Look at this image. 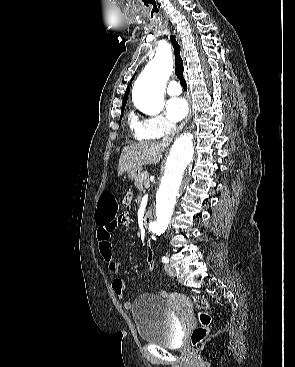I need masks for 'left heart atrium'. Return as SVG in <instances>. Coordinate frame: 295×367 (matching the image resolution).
I'll return each instance as SVG.
<instances>
[{
  "instance_id": "1",
  "label": "left heart atrium",
  "mask_w": 295,
  "mask_h": 367,
  "mask_svg": "<svg viewBox=\"0 0 295 367\" xmlns=\"http://www.w3.org/2000/svg\"><path fill=\"white\" fill-rule=\"evenodd\" d=\"M167 114L172 121H179L188 112L187 102L183 98H173L167 103Z\"/></svg>"
}]
</instances>
